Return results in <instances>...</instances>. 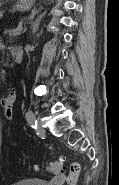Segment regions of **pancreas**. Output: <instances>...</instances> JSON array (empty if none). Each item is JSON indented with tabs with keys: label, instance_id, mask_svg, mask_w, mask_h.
Returning <instances> with one entry per match:
<instances>
[{
	"label": "pancreas",
	"instance_id": "cf45deb5",
	"mask_svg": "<svg viewBox=\"0 0 119 185\" xmlns=\"http://www.w3.org/2000/svg\"><path fill=\"white\" fill-rule=\"evenodd\" d=\"M26 31V28L20 26L18 27L17 29H14V30H8L6 31L5 33H8L10 35H19L21 34L22 32H25Z\"/></svg>",
	"mask_w": 119,
	"mask_h": 185
}]
</instances>
